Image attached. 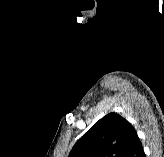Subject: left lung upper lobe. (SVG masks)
<instances>
[{
	"instance_id": "5c2ea615",
	"label": "left lung upper lobe",
	"mask_w": 164,
	"mask_h": 157,
	"mask_svg": "<svg viewBox=\"0 0 164 157\" xmlns=\"http://www.w3.org/2000/svg\"><path fill=\"white\" fill-rule=\"evenodd\" d=\"M135 135L134 127L112 112L78 140L68 157H122Z\"/></svg>"
}]
</instances>
